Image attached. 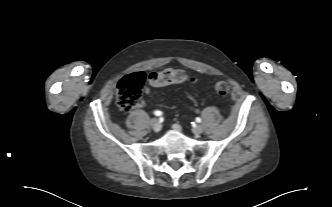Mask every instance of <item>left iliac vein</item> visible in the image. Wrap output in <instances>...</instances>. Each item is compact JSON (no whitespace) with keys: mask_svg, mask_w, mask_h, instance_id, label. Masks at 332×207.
Masks as SVG:
<instances>
[{"mask_svg":"<svg viewBox=\"0 0 332 207\" xmlns=\"http://www.w3.org/2000/svg\"><path fill=\"white\" fill-rule=\"evenodd\" d=\"M193 133L199 135L203 132V127L201 125H197L192 129Z\"/></svg>","mask_w":332,"mask_h":207,"instance_id":"1","label":"left iliac vein"}]
</instances>
